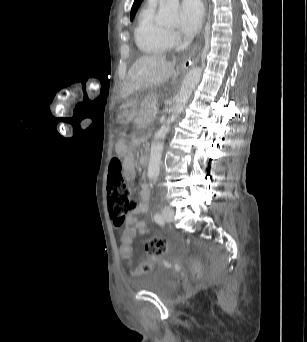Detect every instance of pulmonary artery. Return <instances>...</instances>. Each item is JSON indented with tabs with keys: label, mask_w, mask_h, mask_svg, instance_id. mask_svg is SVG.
<instances>
[{
	"label": "pulmonary artery",
	"mask_w": 307,
	"mask_h": 342,
	"mask_svg": "<svg viewBox=\"0 0 307 342\" xmlns=\"http://www.w3.org/2000/svg\"><path fill=\"white\" fill-rule=\"evenodd\" d=\"M162 1H148L149 4V11L155 10V8L159 5Z\"/></svg>",
	"instance_id": "e3ab8cb5"
}]
</instances>
